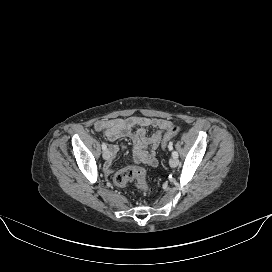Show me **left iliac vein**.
Returning a JSON list of instances; mask_svg holds the SVG:
<instances>
[{
  "instance_id": "obj_1",
  "label": "left iliac vein",
  "mask_w": 272,
  "mask_h": 272,
  "mask_svg": "<svg viewBox=\"0 0 272 272\" xmlns=\"http://www.w3.org/2000/svg\"><path fill=\"white\" fill-rule=\"evenodd\" d=\"M169 164L171 167H176L179 164V161L177 158L172 157L169 161Z\"/></svg>"
}]
</instances>
